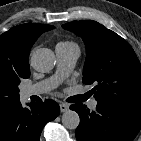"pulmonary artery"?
<instances>
[{
	"mask_svg": "<svg viewBox=\"0 0 141 141\" xmlns=\"http://www.w3.org/2000/svg\"><path fill=\"white\" fill-rule=\"evenodd\" d=\"M80 51L77 46H56L57 69L51 77L27 86L22 90V96L27 98L33 95L45 94L55 89L73 70ZM97 101L95 99L89 102V108L95 109Z\"/></svg>",
	"mask_w": 141,
	"mask_h": 141,
	"instance_id": "pulmonary-artery-1",
	"label": "pulmonary artery"
}]
</instances>
